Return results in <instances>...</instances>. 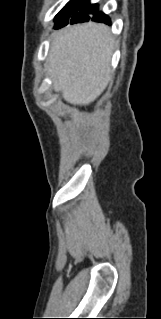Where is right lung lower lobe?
Here are the masks:
<instances>
[{
  "label": "right lung lower lobe",
  "instance_id": "1",
  "mask_svg": "<svg viewBox=\"0 0 161 319\" xmlns=\"http://www.w3.org/2000/svg\"><path fill=\"white\" fill-rule=\"evenodd\" d=\"M88 20H92V21H96V22H102V23H106V24H109L110 25V18L105 15L103 12H98V10L92 14L89 19H85L84 21H81V22H85V21H88ZM58 28V27H57Z\"/></svg>",
  "mask_w": 161,
  "mask_h": 319
}]
</instances>
